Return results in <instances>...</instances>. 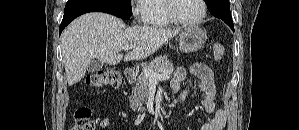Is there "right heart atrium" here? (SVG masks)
I'll use <instances>...</instances> for the list:
<instances>
[{
  "mask_svg": "<svg viewBox=\"0 0 299 130\" xmlns=\"http://www.w3.org/2000/svg\"><path fill=\"white\" fill-rule=\"evenodd\" d=\"M147 2L148 0H137L132 2V14L139 22L145 20V6Z\"/></svg>",
  "mask_w": 299,
  "mask_h": 130,
  "instance_id": "d8ad5b80",
  "label": "right heart atrium"
}]
</instances>
